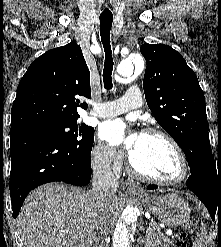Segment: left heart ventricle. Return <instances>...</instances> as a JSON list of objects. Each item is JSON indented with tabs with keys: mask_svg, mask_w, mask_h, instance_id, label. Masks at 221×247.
<instances>
[{
	"mask_svg": "<svg viewBox=\"0 0 221 247\" xmlns=\"http://www.w3.org/2000/svg\"><path fill=\"white\" fill-rule=\"evenodd\" d=\"M130 156L144 173L173 180L182 174V165L175 149L163 138L140 134Z\"/></svg>",
	"mask_w": 221,
	"mask_h": 247,
	"instance_id": "1",
	"label": "left heart ventricle"
}]
</instances>
